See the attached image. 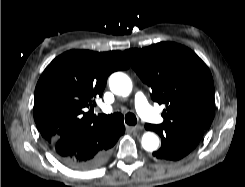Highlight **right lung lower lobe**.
<instances>
[{
	"label": "right lung lower lobe",
	"instance_id": "obj_1",
	"mask_svg": "<svg viewBox=\"0 0 245 187\" xmlns=\"http://www.w3.org/2000/svg\"><path fill=\"white\" fill-rule=\"evenodd\" d=\"M125 132L123 125L90 127L50 144L56 158L69 168L91 170L102 166L111 149Z\"/></svg>",
	"mask_w": 245,
	"mask_h": 187
}]
</instances>
